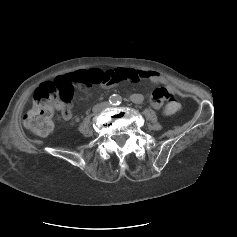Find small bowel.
I'll return each instance as SVG.
<instances>
[{
	"label": "small bowel",
	"mask_w": 237,
	"mask_h": 237,
	"mask_svg": "<svg viewBox=\"0 0 237 237\" xmlns=\"http://www.w3.org/2000/svg\"><path fill=\"white\" fill-rule=\"evenodd\" d=\"M103 73L106 76V82L102 85L105 87H113L122 81L137 82L142 79L150 80L154 84L163 85L162 88H157L152 93L151 105L155 109H160L165 101L174 98L175 87L169 83L165 77L155 72L128 68H115ZM131 100L134 103H141L143 101V96L139 93H133L131 95ZM56 108L61 112L65 119H70L72 117L71 105L58 102Z\"/></svg>",
	"instance_id": "small-bowel-1"
}]
</instances>
